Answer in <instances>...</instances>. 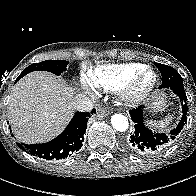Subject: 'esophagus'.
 <instances>
[{"label": "esophagus", "instance_id": "obj_1", "mask_svg": "<svg viewBox=\"0 0 196 196\" xmlns=\"http://www.w3.org/2000/svg\"><path fill=\"white\" fill-rule=\"evenodd\" d=\"M110 114V110L105 107H99L97 109V117L104 118Z\"/></svg>", "mask_w": 196, "mask_h": 196}]
</instances>
